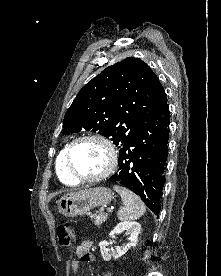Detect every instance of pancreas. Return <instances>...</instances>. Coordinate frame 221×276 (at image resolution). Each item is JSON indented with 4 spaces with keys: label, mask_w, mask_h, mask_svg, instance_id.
I'll list each match as a JSON object with an SVG mask.
<instances>
[{
    "label": "pancreas",
    "mask_w": 221,
    "mask_h": 276,
    "mask_svg": "<svg viewBox=\"0 0 221 276\" xmlns=\"http://www.w3.org/2000/svg\"><path fill=\"white\" fill-rule=\"evenodd\" d=\"M107 214H104V213H100L99 215L97 214H89V217L91 218V220H93L94 224L99 226L101 225L103 222L106 221L107 219Z\"/></svg>",
    "instance_id": "obj_1"
}]
</instances>
